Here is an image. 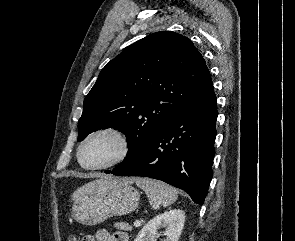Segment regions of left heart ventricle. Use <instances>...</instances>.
<instances>
[{
	"instance_id": "b2bd125f",
	"label": "left heart ventricle",
	"mask_w": 295,
	"mask_h": 241,
	"mask_svg": "<svg viewBox=\"0 0 295 241\" xmlns=\"http://www.w3.org/2000/svg\"><path fill=\"white\" fill-rule=\"evenodd\" d=\"M121 152V143L111 134L92 137L83 147L81 160L87 166H97L114 160Z\"/></svg>"
}]
</instances>
